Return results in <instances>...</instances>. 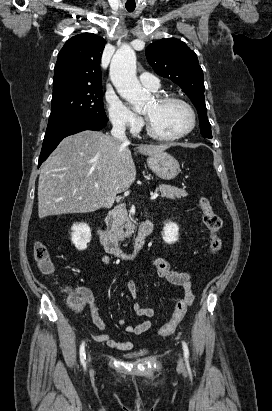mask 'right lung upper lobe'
I'll list each match as a JSON object with an SVG mask.
<instances>
[{
  "label": "right lung upper lobe",
  "mask_w": 272,
  "mask_h": 411,
  "mask_svg": "<svg viewBox=\"0 0 272 411\" xmlns=\"http://www.w3.org/2000/svg\"><path fill=\"white\" fill-rule=\"evenodd\" d=\"M105 43L93 33L70 38L58 54L53 94L70 88L101 86L100 60Z\"/></svg>",
  "instance_id": "right-lung-upper-lobe-1"
}]
</instances>
